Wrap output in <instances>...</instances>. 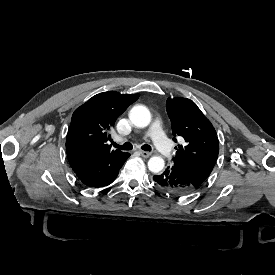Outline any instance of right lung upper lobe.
<instances>
[{
    "label": "right lung upper lobe",
    "instance_id": "cb5924a9",
    "mask_svg": "<svg viewBox=\"0 0 275 275\" xmlns=\"http://www.w3.org/2000/svg\"><path fill=\"white\" fill-rule=\"evenodd\" d=\"M138 94L99 93L75 110L67 133L69 163L120 154L106 144L116 119L138 99Z\"/></svg>",
    "mask_w": 275,
    "mask_h": 275
}]
</instances>
